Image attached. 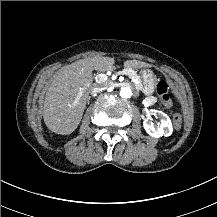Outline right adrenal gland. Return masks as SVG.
Here are the masks:
<instances>
[{
	"mask_svg": "<svg viewBox=\"0 0 217 217\" xmlns=\"http://www.w3.org/2000/svg\"><path fill=\"white\" fill-rule=\"evenodd\" d=\"M90 99H91V97H89L88 99H87V103L89 104V102H90Z\"/></svg>",
	"mask_w": 217,
	"mask_h": 217,
	"instance_id": "obj_1",
	"label": "right adrenal gland"
}]
</instances>
